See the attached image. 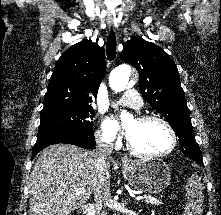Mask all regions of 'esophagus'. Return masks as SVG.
Here are the masks:
<instances>
[{"mask_svg":"<svg viewBox=\"0 0 221 215\" xmlns=\"http://www.w3.org/2000/svg\"><path fill=\"white\" fill-rule=\"evenodd\" d=\"M107 24H108V29H109V31H111L113 28H114V21H113V19H108L107 20ZM122 161L123 162H127V158H123L122 159Z\"/></svg>","mask_w":221,"mask_h":215,"instance_id":"esophagus-1","label":"esophagus"}]
</instances>
